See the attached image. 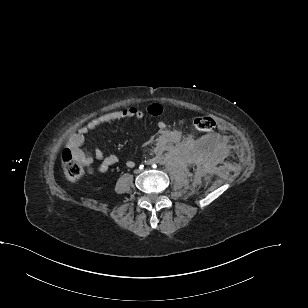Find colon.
I'll return each instance as SVG.
<instances>
[{"mask_svg": "<svg viewBox=\"0 0 308 308\" xmlns=\"http://www.w3.org/2000/svg\"><path fill=\"white\" fill-rule=\"evenodd\" d=\"M193 125L200 132H211L215 129V121L207 115H198L193 118ZM61 160L65 177L69 181L80 179L84 173L83 163L75 158L69 148H65L61 154Z\"/></svg>", "mask_w": 308, "mask_h": 308, "instance_id": "colon-1", "label": "colon"}]
</instances>
